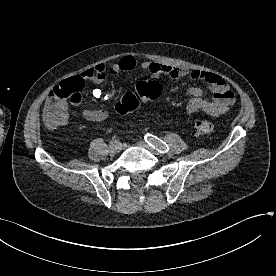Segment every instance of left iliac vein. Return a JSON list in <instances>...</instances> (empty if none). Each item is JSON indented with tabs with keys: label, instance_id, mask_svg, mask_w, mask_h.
Masks as SVG:
<instances>
[{
	"label": "left iliac vein",
	"instance_id": "1",
	"mask_svg": "<svg viewBox=\"0 0 276 276\" xmlns=\"http://www.w3.org/2000/svg\"><path fill=\"white\" fill-rule=\"evenodd\" d=\"M137 144H138L140 147L149 150V151H150L151 153H153L154 155H161V153H160L158 150H156L155 148H153L151 145L145 143L144 141H139Z\"/></svg>",
	"mask_w": 276,
	"mask_h": 276
}]
</instances>
